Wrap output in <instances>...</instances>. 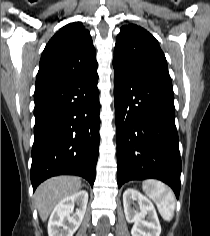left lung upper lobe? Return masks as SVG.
<instances>
[{"instance_id": "5c2ea615", "label": "left lung upper lobe", "mask_w": 210, "mask_h": 236, "mask_svg": "<svg viewBox=\"0 0 210 236\" xmlns=\"http://www.w3.org/2000/svg\"><path fill=\"white\" fill-rule=\"evenodd\" d=\"M113 67L128 76L172 84L158 41L135 24L121 28L116 38Z\"/></svg>"}]
</instances>
